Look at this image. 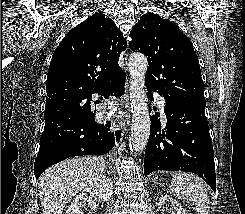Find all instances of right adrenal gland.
<instances>
[{
  "instance_id": "obj_1",
  "label": "right adrenal gland",
  "mask_w": 245,
  "mask_h": 214,
  "mask_svg": "<svg viewBox=\"0 0 245 214\" xmlns=\"http://www.w3.org/2000/svg\"><path fill=\"white\" fill-rule=\"evenodd\" d=\"M107 168L111 169V167L109 166L108 162H107V165H106V169ZM106 169H105V173H106ZM108 175H109V172H108Z\"/></svg>"
}]
</instances>
